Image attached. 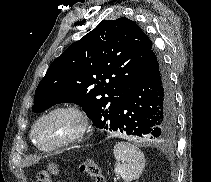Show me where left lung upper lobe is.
<instances>
[{"mask_svg":"<svg viewBox=\"0 0 211 182\" xmlns=\"http://www.w3.org/2000/svg\"><path fill=\"white\" fill-rule=\"evenodd\" d=\"M152 49V41L132 20L101 21L51 63L36 88L32 110L73 102L97 128L114 130L119 106Z\"/></svg>","mask_w":211,"mask_h":182,"instance_id":"obj_1","label":"left lung upper lobe"}]
</instances>
